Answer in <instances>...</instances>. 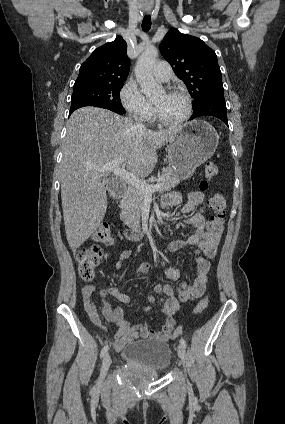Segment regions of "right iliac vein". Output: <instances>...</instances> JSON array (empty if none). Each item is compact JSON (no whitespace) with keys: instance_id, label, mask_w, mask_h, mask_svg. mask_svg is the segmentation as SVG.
Returning a JSON list of instances; mask_svg holds the SVG:
<instances>
[{"instance_id":"63e3f726","label":"right iliac vein","mask_w":285,"mask_h":424,"mask_svg":"<svg viewBox=\"0 0 285 424\" xmlns=\"http://www.w3.org/2000/svg\"><path fill=\"white\" fill-rule=\"evenodd\" d=\"M111 362H112L111 356L109 354H106L102 361V367H101L100 378H99L100 382H102L105 379L107 372L109 370V367L111 365Z\"/></svg>"}]
</instances>
